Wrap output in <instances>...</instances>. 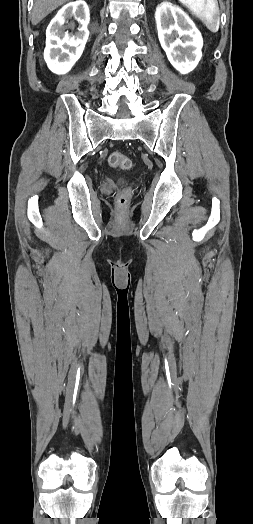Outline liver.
<instances>
[{"mask_svg": "<svg viewBox=\"0 0 253 524\" xmlns=\"http://www.w3.org/2000/svg\"><path fill=\"white\" fill-rule=\"evenodd\" d=\"M67 2L69 0H35L32 10V24H38L49 13Z\"/></svg>", "mask_w": 253, "mask_h": 524, "instance_id": "6515ba94", "label": "liver"}]
</instances>
